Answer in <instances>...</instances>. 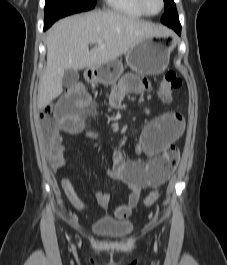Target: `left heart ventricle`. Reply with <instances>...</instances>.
Instances as JSON below:
<instances>
[{
	"mask_svg": "<svg viewBox=\"0 0 227 265\" xmlns=\"http://www.w3.org/2000/svg\"><path fill=\"white\" fill-rule=\"evenodd\" d=\"M145 7L147 11L151 13H155L160 9V1L159 0H144Z\"/></svg>",
	"mask_w": 227,
	"mask_h": 265,
	"instance_id": "obj_1",
	"label": "left heart ventricle"
}]
</instances>
